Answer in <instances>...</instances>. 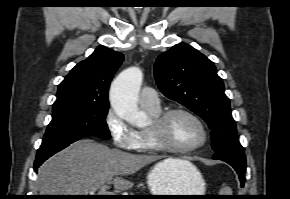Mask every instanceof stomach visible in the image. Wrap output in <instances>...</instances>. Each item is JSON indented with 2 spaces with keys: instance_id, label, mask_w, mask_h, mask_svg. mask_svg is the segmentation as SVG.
I'll return each instance as SVG.
<instances>
[{
  "instance_id": "stomach-1",
  "label": "stomach",
  "mask_w": 290,
  "mask_h": 199,
  "mask_svg": "<svg viewBox=\"0 0 290 199\" xmlns=\"http://www.w3.org/2000/svg\"><path fill=\"white\" fill-rule=\"evenodd\" d=\"M147 185L152 195H205V181L193 165L173 169L163 161L158 162L147 174ZM161 198L196 199L198 196Z\"/></svg>"
}]
</instances>
